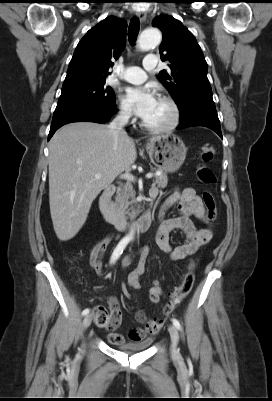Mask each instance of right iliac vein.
<instances>
[{"mask_svg":"<svg viewBox=\"0 0 272 401\" xmlns=\"http://www.w3.org/2000/svg\"><path fill=\"white\" fill-rule=\"evenodd\" d=\"M91 322H92V316L86 315L83 320V328L87 329L91 325Z\"/></svg>","mask_w":272,"mask_h":401,"instance_id":"1","label":"right iliac vein"}]
</instances>
